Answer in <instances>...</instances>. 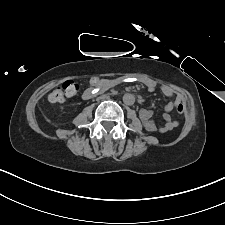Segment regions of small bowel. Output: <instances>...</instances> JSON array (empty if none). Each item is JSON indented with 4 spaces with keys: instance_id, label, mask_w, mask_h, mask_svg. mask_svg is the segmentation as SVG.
Instances as JSON below:
<instances>
[{
    "instance_id": "1",
    "label": "small bowel",
    "mask_w": 225,
    "mask_h": 225,
    "mask_svg": "<svg viewBox=\"0 0 225 225\" xmlns=\"http://www.w3.org/2000/svg\"><path fill=\"white\" fill-rule=\"evenodd\" d=\"M92 79L90 80L89 89H87L83 95L84 99L90 98L91 95L94 94L93 92L95 89H97V87L105 88L111 85L110 81H105L103 84H100V85H92L91 84ZM147 89L148 91L153 92L157 89V85L154 83H149L147 84ZM161 91L165 96L171 98V100L167 103L164 109L163 124L158 127L154 121L153 112L148 109H145V108L140 109L139 116L143 122L144 127L148 131L158 130L159 132L164 133V132L171 131L173 128H175L178 125V121L172 117L171 112L173 111L174 108L177 107L178 104H181V100H180V97L176 95V93L167 86H161Z\"/></svg>"
}]
</instances>
